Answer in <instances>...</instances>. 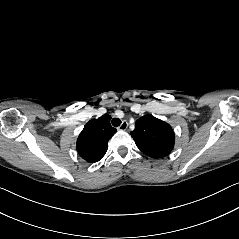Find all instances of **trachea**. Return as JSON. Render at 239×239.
Masks as SVG:
<instances>
[{"label":"trachea","mask_w":239,"mask_h":239,"mask_svg":"<svg viewBox=\"0 0 239 239\" xmlns=\"http://www.w3.org/2000/svg\"><path fill=\"white\" fill-rule=\"evenodd\" d=\"M111 122L114 127H118L121 124V120L119 118H113Z\"/></svg>","instance_id":"obj_1"}]
</instances>
